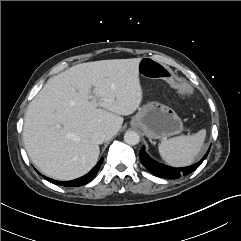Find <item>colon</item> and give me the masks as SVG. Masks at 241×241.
Returning <instances> with one entry per match:
<instances>
[{
  "mask_svg": "<svg viewBox=\"0 0 241 241\" xmlns=\"http://www.w3.org/2000/svg\"><path fill=\"white\" fill-rule=\"evenodd\" d=\"M135 70L144 78L150 80L155 78L159 82H168L173 75L171 68L165 62L155 63L153 58L149 56L139 57L136 60Z\"/></svg>",
  "mask_w": 241,
  "mask_h": 241,
  "instance_id": "5ec220e1",
  "label": "colon"
}]
</instances>
